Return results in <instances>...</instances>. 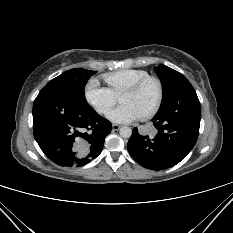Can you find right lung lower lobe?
<instances>
[{
	"label": "right lung lower lobe",
	"instance_id": "right-lung-lower-lobe-1",
	"mask_svg": "<svg viewBox=\"0 0 233 233\" xmlns=\"http://www.w3.org/2000/svg\"><path fill=\"white\" fill-rule=\"evenodd\" d=\"M34 137L60 166L79 167L102 151L111 123L88 103L54 87H44L33 104Z\"/></svg>",
	"mask_w": 233,
	"mask_h": 233
}]
</instances>
